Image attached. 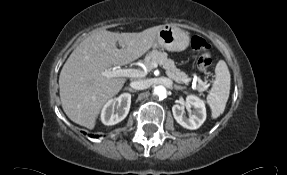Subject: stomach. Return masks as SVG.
Instances as JSON below:
<instances>
[{
	"mask_svg": "<svg viewBox=\"0 0 287 175\" xmlns=\"http://www.w3.org/2000/svg\"><path fill=\"white\" fill-rule=\"evenodd\" d=\"M188 45L189 36L184 30L171 24H165L158 31L153 47L180 52L185 50Z\"/></svg>",
	"mask_w": 287,
	"mask_h": 175,
	"instance_id": "stomach-1",
	"label": "stomach"
}]
</instances>
